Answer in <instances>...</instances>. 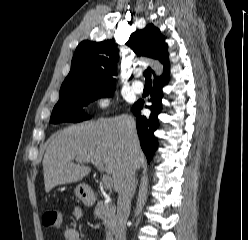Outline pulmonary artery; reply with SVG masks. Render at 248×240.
<instances>
[{"instance_id":"1","label":"pulmonary artery","mask_w":248,"mask_h":240,"mask_svg":"<svg viewBox=\"0 0 248 240\" xmlns=\"http://www.w3.org/2000/svg\"><path fill=\"white\" fill-rule=\"evenodd\" d=\"M144 89V85L141 81L139 80H136L132 83V90L135 92V93H141Z\"/></svg>"}]
</instances>
